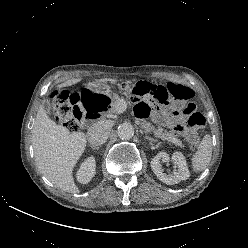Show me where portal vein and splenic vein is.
Segmentation results:
<instances>
[{"label":"portal vein and splenic vein","mask_w":248,"mask_h":248,"mask_svg":"<svg viewBox=\"0 0 248 248\" xmlns=\"http://www.w3.org/2000/svg\"><path fill=\"white\" fill-rule=\"evenodd\" d=\"M126 108H127L126 102L123 99L119 100V102H118V113L124 112L126 110Z\"/></svg>","instance_id":"obj_1"}]
</instances>
